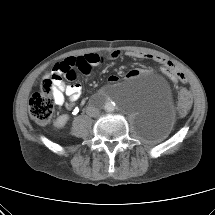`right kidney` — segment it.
<instances>
[{
  "instance_id": "right-kidney-1",
  "label": "right kidney",
  "mask_w": 215,
  "mask_h": 215,
  "mask_svg": "<svg viewBox=\"0 0 215 215\" xmlns=\"http://www.w3.org/2000/svg\"><path fill=\"white\" fill-rule=\"evenodd\" d=\"M69 119V116L64 114V115H61L55 122H54V126L56 128H62L65 126V124L67 123Z\"/></svg>"
}]
</instances>
